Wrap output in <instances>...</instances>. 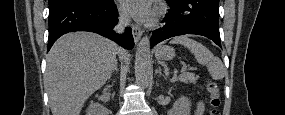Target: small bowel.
<instances>
[{
    "label": "small bowel",
    "instance_id": "1",
    "mask_svg": "<svg viewBox=\"0 0 285 115\" xmlns=\"http://www.w3.org/2000/svg\"><path fill=\"white\" fill-rule=\"evenodd\" d=\"M203 111V104L201 102H197L196 108H195V114L199 115Z\"/></svg>",
    "mask_w": 285,
    "mask_h": 115
}]
</instances>
